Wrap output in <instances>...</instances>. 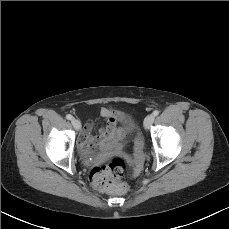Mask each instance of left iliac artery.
Instances as JSON below:
<instances>
[{
  "instance_id": "obj_1",
  "label": "left iliac artery",
  "mask_w": 229,
  "mask_h": 229,
  "mask_svg": "<svg viewBox=\"0 0 229 229\" xmlns=\"http://www.w3.org/2000/svg\"><path fill=\"white\" fill-rule=\"evenodd\" d=\"M153 115H154V116L159 115V111H158V110H155V111L153 112Z\"/></svg>"
}]
</instances>
